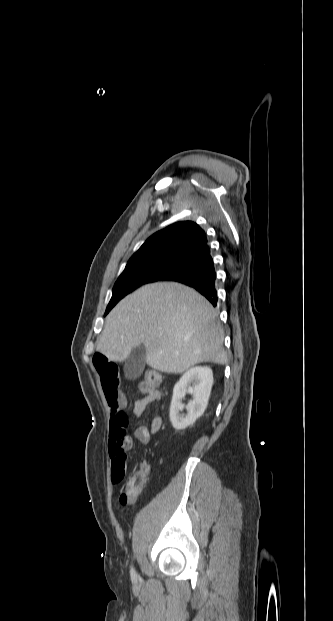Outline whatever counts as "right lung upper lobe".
Returning <instances> with one entry per match:
<instances>
[{
	"label": "right lung upper lobe",
	"instance_id": "right-lung-upper-lobe-1",
	"mask_svg": "<svg viewBox=\"0 0 333 621\" xmlns=\"http://www.w3.org/2000/svg\"><path fill=\"white\" fill-rule=\"evenodd\" d=\"M207 243L206 234L198 224L177 222L150 236L128 263L167 257L186 259Z\"/></svg>",
	"mask_w": 333,
	"mask_h": 621
}]
</instances>
